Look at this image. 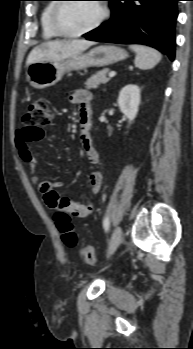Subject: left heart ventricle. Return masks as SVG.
<instances>
[{
  "instance_id": "b2bd125f",
  "label": "left heart ventricle",
  "mask_w": 193,
  "mask_h": 349,
  "mask_svg": "<svg viewBox=\"0 0 193 349\" xmlns=\"http://www.w3.org/2000/svg\"><path fill=\"white\" fill-rule=\"evenodd\" d=\"M101 9L95 2L68 3L59 13V23L68 32H78L91 26L100 16Z\"/></svg>"
}]
</instances>
